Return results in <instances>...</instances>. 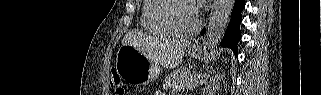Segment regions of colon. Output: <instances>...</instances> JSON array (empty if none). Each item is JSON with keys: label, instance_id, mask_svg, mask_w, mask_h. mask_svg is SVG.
Wrapping results in <instances>:
<instances>
[{"label": "colon", "instance_id": "5ec220e1", "mask_svg": "<svg viewBox=\"0 0 321 95\" xmlns=\"http://www.w3.org/2000/svg\"><path fill=\"white\" fill-rule=\"evenodd\" d=\"M110 84H111L112 88L114 89V91L116 92V94H118V95L125 94V86L117 73L113 72L111 74Z\"/></svg>", "mask_w": 321, "mask_h": 95}]
</instances>
